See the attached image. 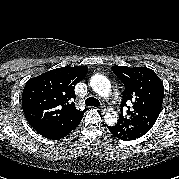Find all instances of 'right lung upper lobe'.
Masks as SVG:
<instances>
[{"mask_svg": "<svg viewBox=\"0 0 179 179\" xmlns=\"http://www.w3.org/2000/svg\"><path fill=\"white\" fill-rule=\"evenodd\" d=\"M87 71V66H66L28 80L22 93L23 112L40 135L57 140L79 125L87 109L75 108L74 87Z\"/></svg>", "mask_w": 179, "mask_h": 179, "instance_id": "1", "label": "right lung upper lobe"}]
</instances>
